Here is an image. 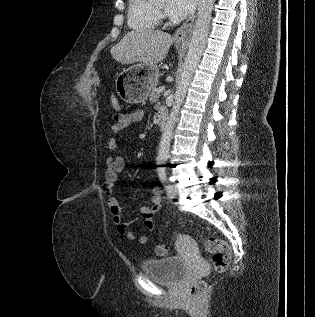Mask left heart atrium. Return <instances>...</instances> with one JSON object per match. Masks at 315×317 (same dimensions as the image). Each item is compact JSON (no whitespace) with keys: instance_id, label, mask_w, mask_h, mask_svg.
<instances>
[{"instance_id":"obj_1","label":"left heart atrium","mask_w":315,"mask_h":317,"mask_svg":"<svg viewBox=\"0 0 315 317\" xmlns=\"http://www.w3.org/2000/svg\"><path fill=\"white\" fill-rule=\"evenodd\" d=\"M196 0H168L166 12L175 18H184L191 14Z\"/></svg>"}]
</instances>
